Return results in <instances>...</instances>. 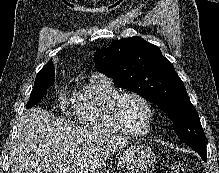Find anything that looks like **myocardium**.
<instances>
[{
    "label": "myocardium",
    "instance_id": "myocardium-1",
    "mask_svg": "<svg viewBox=\"0 0 219 173\" xmlns=\"http://www.w3.org/2000/svg\"><path fill=\"white\" fill-rule=\"evenodd\" d=\"M128 97H134L139 99L147 108L149 113L148 123L144 130L142 131H134L128 129L124 124L122 123L121 117H120V108L121 104L124 101V99ZM109 116L114 124V126L120 131L122 134L130 136V137H144L150 134L153 130L154 120H155V109L152 104V102L143 94L136 92V91H125L118 93L109 103L108 107Z\"/></svg>",
    "mask_w": 219,
    "mask_h": 173
}]
</instances>
